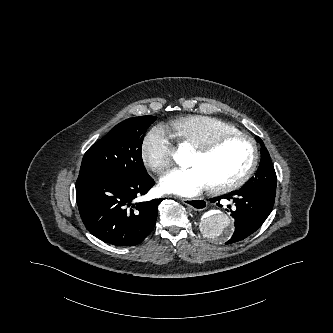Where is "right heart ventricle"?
Wrapping results in <instances>:
<instances>
[{
    "instance_id": "e07e8e85",
    "label": "right heart ventricle",
    "mask_w": 333,
    "mask_h": 333,
    "mask_svg": "<svg viewBox=\"0 0 333 333\" xmlns=\"http://www.w3.org/2000/svg\"><path fill=\"white\" fill-rule=\"evenodd\" d=\"M169 131L179 144L195 147L217 135L239 132L234 126L203 115L179 117L169 122Z\"/></svg>"
}]
</instances>
